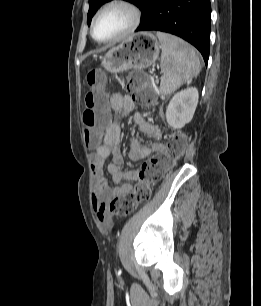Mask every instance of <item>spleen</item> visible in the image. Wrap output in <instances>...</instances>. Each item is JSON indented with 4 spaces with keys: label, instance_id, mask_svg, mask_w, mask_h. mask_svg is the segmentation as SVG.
<instances>
[{
    "label": "spleen",
    "instance_id": "1",
    "mask_svg": "<svg viewBox=\"0 0 261 306\" xmlns=\"http://www.w3.org/2000/svg\"><path fill=\"white\" fill-rule=\"evenodd\" d=\"M161 42L162 78L160 92L170 95L184 83H190L200 72V61L188 43L170 34L157 32Z\"/></svg>",
    "mask_w": 261,
    "mask_h": 306
}]
</instances>
